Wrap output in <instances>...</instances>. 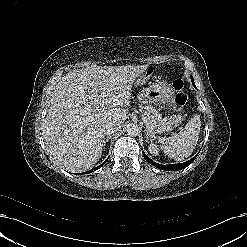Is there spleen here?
I'll use <instances>...</instances> for the list:
<instances>
[{
  "mask_svg": "<svg viewBox=\"0 0 247 247\" xmlns=\"http://www.w3.org/2000/svg\"><path fill=\"white\" fill-rule=\"evenodd\" d=\"M200 127V116L194 115L185 125L184 130L161 142V149L175 161H183L193 153L199 138Z\"/></svg>",
  "mask_w": 247,
  "mask_h": 247,
  "instance_id": "1",
  "label": "spleen"
}]
</instances>
